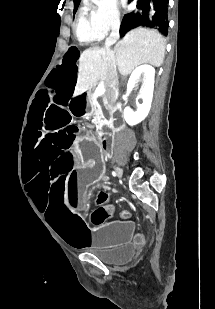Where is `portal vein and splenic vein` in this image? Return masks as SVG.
Masks as SVG:
<instances>
[{
	"label": "portal vein and splenic vein",
	"instance_id": "obj_1",
	"mask_svg": "<svg viewBox=\"0 0 215 309\" xmlns=\"http://www.w3.org/2000/svg\"><path fill=\"white\" fill-rule=\"evenodd\" d=\"M104 92H105L104 86H97L94 94L95 96H101V94H104Z\"/></svg>",
	"mask_w": 215,
	"mask_h": 309
}]
</instances>
